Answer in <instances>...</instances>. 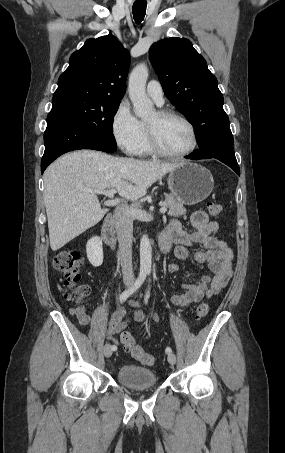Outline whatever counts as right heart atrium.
I'll list each match as a JSON object with an SVG mask.
<instances>
[{
    "label": "right heart atrium",
    "instance_id": "right-heart-atrium-1",
    "mask_svg": "<svg viewBox=\"0 0 285 453\" xmlns=\"http://www.w3.org/2000/svg\"><path fill=\"white\" fill-rule=\"evenodd\" d=\"M111 131L118 147L127 155H135L142 137V123L134 116L130 107L122 103L117 108Z\"/></svg>",
    "mask_w": 285,
    "mask_h": 453
}]
</instances>
